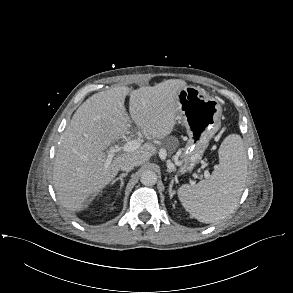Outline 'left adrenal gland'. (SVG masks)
<instances>
[{
	"instance_id": "left-adrenal-gland-1",
	"label": "left adrenal gland",
	"mask_w": 293,
	"mask_h": 293,
	"mask_svg": "<svg viewBox=\"0 0 293 293\" xmlns=\"http://www.w3.org/2000/svg\"><path fill=\"white\" fill-rule=\"evenodd\" d=\"M173 183H174V180L172 179L171 180V183H170V186H169V195H170V198H172L173 195L175 194V191L172 190Z\"/></svg>"
}]
</instances>
